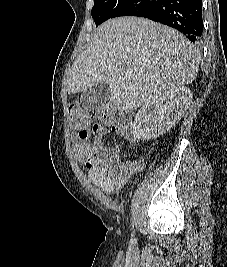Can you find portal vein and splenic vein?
Here are the masks:
<instances>
[{
  "label": "portal vein and splenic vein",
  "mask_w": 227,
  "mask_h": 267,
  "mask_svg": "<svg viewBox=\"0 0 227 267\" xmlns=\"http://www.w3.org/2000/svg\"><path fill=\"white\" fill-rule=\"evenodd\" d=\"M132 71H127L126 74L127 75H131Z\"/></svg>",
  "instance_id": "1"
}]
</instances>
